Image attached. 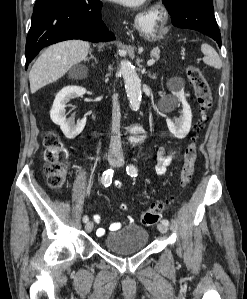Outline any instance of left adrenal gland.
I'll use <instances>...</instances> for the list:
<instances>
[{"mask_svg": "<svg viewBox=\"0 0 247 299\" xmlns=\"http://www.w3.org/2000/svg\"><path fill=\"white\" fill-rule=\"evenodd\" d=\"M148 75H149V77H151V78H156V75L155 74H151L150 72H148Z\"/></svg>", "mask_w": 247, "mask_h": 299, "instance_id": "1", "label": "left adrenal gland"}]
</instances>
